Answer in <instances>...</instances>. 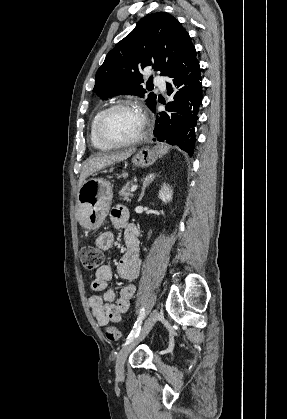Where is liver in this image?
Masks as SVG:
<instances>
[{
  "mask_svg": "<svg viewBox=\"0 0 287 419\" xmlns=\"http://www.w3.org/2000/svg\"><path fill=\"white\" fill-rule=\"evenodd\" d=\"M134 152V149H129L123 152L114 154H98L86 160L83 164L82 171L79 178V188L85 182V179L94 172L106 168L116 162L123 161L129 158Z\"/></svg>",
  "mask_w": 287,
  "mask_h": 419,
  "instance_id": "liver-1",
  "label": "liver"
}]
</instances>
